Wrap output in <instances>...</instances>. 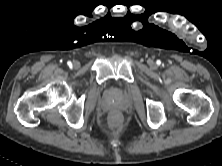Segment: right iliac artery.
<instances>
[{
    "label": "right iliac artery",
    "mask_w": 222,
    "mask_h": 166,
    "mask_svg": "<svg viewBox=\"0 0 222 166\" xmlns=\"http://www.w3.org/2000/svg\"><path fill=\"white\" fill-rule=\"evenodd\" d=\"M67 64H68V66H70V67L72 66L71 61H68Z\"/></svg>",
    "instance_id": "82829eb1"
}]
</instances>
